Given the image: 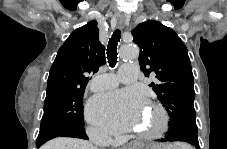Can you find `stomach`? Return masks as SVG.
Masks as SVG:
<instances>
[{"label":"stomach","instance_id":"1","mask_svg":"<svg viewBox=\"0 0 227 149\" xmlns=\"http://www.w3.org/2000/svg\"><path fill=\"white\" fill-rule=\"evenodd\" d=\"M150 149H173V148H169V147H165V146H157V147L150 148Z\"/></svg>","mask_w":227,"mask_h":149}]
</instances>
